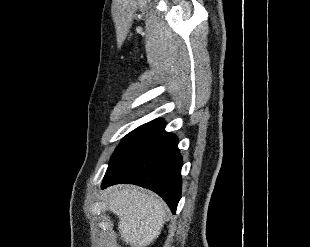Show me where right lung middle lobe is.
<instances>
[{
	"label": "right lung middle lobe",
	"instance_id": "right-lung-middle-lobe-1",
	"mask_svg": "<svg viewBox=\"0 0 310 247\" xmlns=\"http://www.w3.org/2000/svg\"><path fill=\"white\" fill-rule=\"evenodd\" d=\"M143 126H140L138 128H136L135 130H133L132 132H130L120 143V145L116 148V150L114 151L112 157H111V161L116 157V155L126 146V144L130 141V139L140 130L142 129Z\"/></svg>",
	"mask_w": 310,
	"mask_h": 247
}]
</instances>
